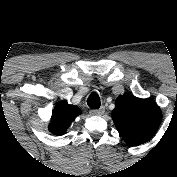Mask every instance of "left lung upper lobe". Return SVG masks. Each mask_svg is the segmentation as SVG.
I'll return each mask as SVG.
<instances>
[{"label": "left lung upper lobe", "mask_w": 177, "mask_h": 177, "mask_svg": "<svg viewBox=\"0 0 177 177\" xmlns=\"http://www.w3.org/2000/svg\"><path fill=\"white\" fill-rule=\"evenodd\" d=\"M112 119L124 141L137 146L156 133L162 114L154 100L139 99L126 93L116 99Z\"/></svg>", "instance_id": "obj_1"}]
</instances>
